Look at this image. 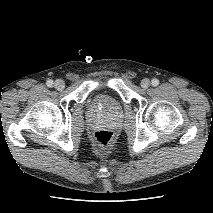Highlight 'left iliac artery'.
I'll return each instance as SVG.
<instances>
[{
	"label": "left iliac artery",
	"instance_id": "left-iliac-artery-1",
	"mask_svg": "<svg viewBox=\"0 0 213 213\" xmlns=\"http://www.w3.org/2000/svg\"><path fill=\"white\" fill-rule=\"evenodd\" d=\"M151 84H152L153 86H157V85L159 84V80L156 79V78H154V79H152Z\"/></svg>",
	"mask_w": 213,
	"mask_h": 213
}]
</instances>
